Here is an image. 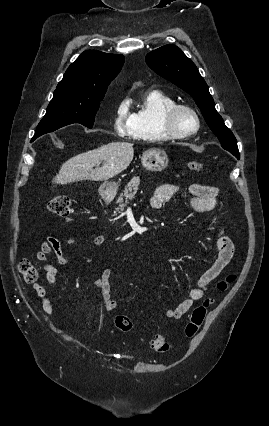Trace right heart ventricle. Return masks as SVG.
<instances>
[{"mask_svg": "<svg viewBox=\"0 0 269 426\" xmlns=\"http://www.w3.org/2000/svg\"><path fill=\"white\" fill-rule=\"evenodd\" d=\"M175 103L172 97L161 91H148L144 95L140 107L133 113V137L145 142L172 139L162 129L161 120L164 110Z\"/></svg>", "mask_w": 269, "mask_h": 426, "instance_id": "e07e8e85", "label": "right heart ventricle"}]
</instances>
